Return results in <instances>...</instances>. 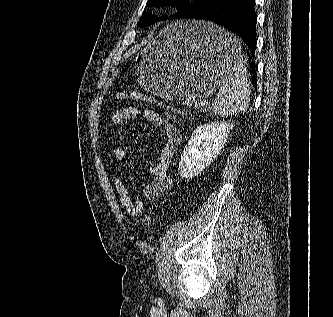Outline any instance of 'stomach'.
Instances as JSON below:
<instances>
[{"label": "stomach", "instance_id": "stomach-1", "mask_svg": "<svg viewBox=\"0 0 333 317\" xmlns=\"http://www.w3.org/2000/svg\"><path fill=\"white\" fill-rule=\"evenodd\" d=\"M242 45L230 29L205 21L172 23L134 59L137 83L148 92L170 100L203 98L216 91L238 62Z\"/></svg>", "mask_w": 333, "mask_h": 317}]
</instances>
